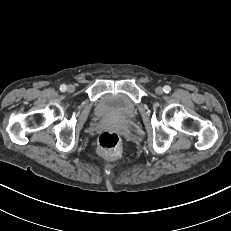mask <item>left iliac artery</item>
Here are the masks:
<instances>
[{"instance_id": "44dca946", "label": "left iliac artery", "mask_w": 231, "mask_h": 231, "mask_svg": "<svg viewBox=\"0 0 231 231\" xmlns=\"http://www.w3.org/2000/svg\"><path fill=\"white\" fill-rule=\"evenodd\" d=\"M163 90L165 93H169L171 91V87L166 85V86H164Z\"/></svg>"}]
</instances>
